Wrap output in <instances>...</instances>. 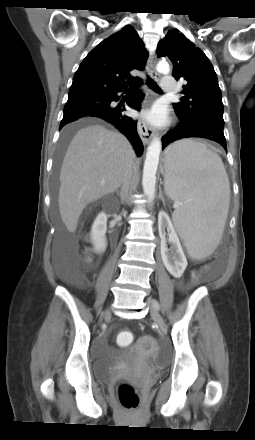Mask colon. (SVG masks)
Returning a JSON list of instances; mask_svg holds the SVG:
<instances>
[{
  "mask_svg": "<svg viewBox=\"0 0 255 440\" xmlns=\"http://www.w3.org/2000/svg\"><path fill=\"white\" fill-rule=\"evenodd\" d=\"M133 340L134 335L130 331H121L117 335V343L120 346H128L133 342ZM118 398L121 404L128 409L135 408L139 401L135 389L128 384H122L119 387Z\"/></svg>",
  "mask_w": 255,
  "mask_h": 440,
  "instance_id": "5ec220e1",
  "label": "colon"
}]
</instances>
